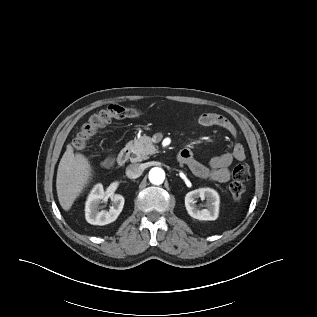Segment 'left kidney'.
Segmentation results:
<instances>
[{"mask_svg":"<svg viewBox=\"0 0 317 317\" xmlns=\"http://www.w3.org/2000/svg\"><path fill=\"white\" fill-rule=\"evenodd\" d=\"M198 199H206V208L196 205ZM185 207L188 214L198 220H216L219 213V195L211 188H200L188 192L185 196Z\"/></svg>","mask_w":317,"mask_h":317,"instance_id":"left-kidney-1","label":"left kidney"}]
</instances>
